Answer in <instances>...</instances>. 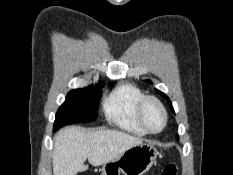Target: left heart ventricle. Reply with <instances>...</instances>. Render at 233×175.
Returning <instances> with one entry per match:
<instances>
[{
	"label": "left heart ventricle",
	"mask_w": 233,
	"mask_h": 175,
	"mask_svg": "<svg viewBox=\"0 0 233 175\" xmlns=\"http://www.w3.org/2000/svg\"><path fill=\"white\" fill-rule=\"evenodd\" d=\"M145 119L149 127L158 130L163 125V115L155 103H148L144 111Z\"/></svg>",
	"instance_id": "b2bd125f"
}]
</instances>
